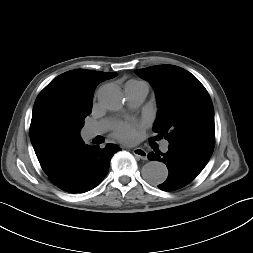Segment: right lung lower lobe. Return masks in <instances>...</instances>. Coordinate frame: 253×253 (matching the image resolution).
Instances as JSON below:
<instances>
[{"instance_id":"obj_1","label":"right lung lower lobe","mask_w":253,"mask_h":253,"mask_svg":"<svg viewBox=\"0 0 253 253\" xmlns=\"http://www.w3.org/2000/svg\"><path fill=\"white\" fill-rule=\"evenodd\" d=\"M117 145L107 144L105 148L92 147L80 142L64 157L50 181L58 188L70 193L87 192L105 178L109 171L110 160Z\"/></svg>"}]
</instances>
